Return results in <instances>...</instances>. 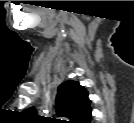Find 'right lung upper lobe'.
Masks as SVG:
<instances>
[{
  "label": "right lung upper lobe",
  "instance_id": "obj_1",
  "mask_svg": "<svg viewBox=\"0 0 134 123\" xmlns=\"http://www.w3.org/2000/svg\"><path fill=\"white\" fill-rule=\"evenodd\" d=\"M56 109L59 116L69 119V123H90L91 107L88 92L78 82L68 80L58 87ZM37 116L31 107L25 111Z\"/></svg>",
  "mask_w": 134,
  "mask_h": 123
}]
</instances>
